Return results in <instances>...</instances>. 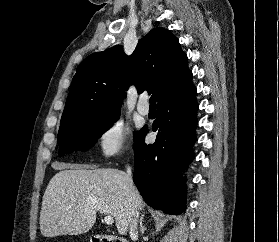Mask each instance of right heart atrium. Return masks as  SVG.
Returning a JSON list of instances; mask_svg holds the SVG:
<instances>
[{
	"label": "right heart atrium",
	"instance_id": "1",
	"mask_svg": "<svg viewBox=\"0 0 279 242\" xmlns=\"http://www.w3.org/2000/svg\"><path fill=\"white\" fill-rule=\"evenodd\" d=\"M129 133L128 125L122 119L110 121L97 137L98 157L101 160H111L123 155L128 147Z\"/></svg>",
	"mask_w": 279,
	"mask_h": 242
}]
</instances>
